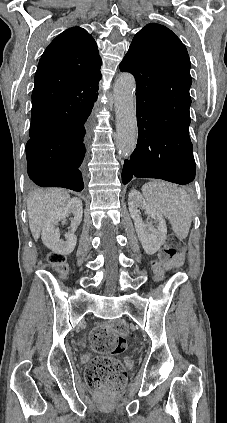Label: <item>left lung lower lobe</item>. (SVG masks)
<instances>
[{"mask_svg":"<svg viewBox=\"0 0 227 423\" xmlns=\"http://www.w3.org/2000/svg\"><path fill=\"white\" fill-rule=\"evenodd\" d=\"M138 143L125 160L122 182L133 177L188 184L195 178L189 112H157L137 107Z\"/></svg>","mask_w":227,"mask_h":423,"instance_id":"obj_1","label":"left lung lower lobe"}]
</instances>
